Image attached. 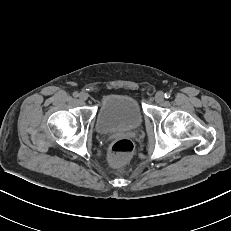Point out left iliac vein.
Segmentation results:
<instances>
[{"label":"left iliac vein","instance_id":"4c4485c4","mask_svg":"<svg viewBox=\"0 0 231 231\" xmlns=\"http://www.w3.org/2000/svg\"><path fill=\"white\" fill-rule=\"evenodd\" d=\"M164 100V94L162 92H157L155 95V101L161 103Z\"/></svg>","mask_w":231,"mask_h":231}]
</instances>
